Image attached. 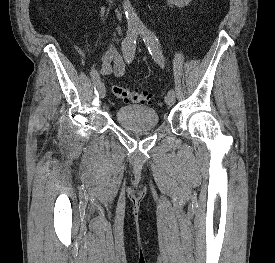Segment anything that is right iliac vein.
Masks as SVG:
<instances>
[{"label":"right iliac vein","mask_w":275,"mask_h":263,"mask_svg":"<svg viewBox=\"0 0 275 263\" xmlns=\"http://www.w3.org/2000/svg\"><path fill=\"white\" fill-rule=\"evenodd\" d=\"M98 90H99V95L101 98H104L105 94H106V89H105V85L103 83H100L98 85Z\"/></svg>","instance_id":"obj_1"}]
</instances>
